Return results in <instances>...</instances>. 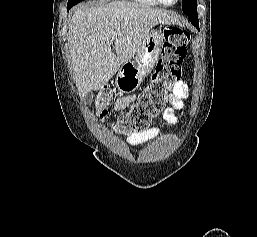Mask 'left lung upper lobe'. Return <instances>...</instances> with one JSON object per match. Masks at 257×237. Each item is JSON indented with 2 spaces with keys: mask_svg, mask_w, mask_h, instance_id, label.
<instances>
[{
  "mask_svg": "<svg viewBox=\"0 0 257 237\" xmlns=\"http://www.w3.org/2000/svg\"><path fill=\"white\" fill-rule=\"evenodd\" d=\"M182 10L190 21H198L197 0H182Z\"/></svg>",
  "mask_w": 257,
  "mask_h": 237,
  "instance_id": "5c2ea615",
  "label": "left lung upper lobe"
}]
</instances>
